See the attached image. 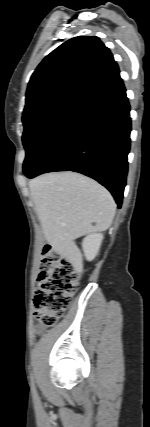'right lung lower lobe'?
Returning <instances> with one entry per match:
<instances>
[{
  "instance_id": "1",
  "label": "right lung lower lobe",
  "mask_w": 150,
  "mask_h": 427,
  "mask_svg": "<svg viewBox=\"0 0 150 427\" xmlns=\"http://www.w3.org/2000/svg\"><path fill=\"white\" fill-rule=\"evenodd\" d=\"M129 112L126 90L120 80L80 106L27 177L54 171L79 172L105 186L120 208L130 150Z\"/></svg>"
}]
</instances>
